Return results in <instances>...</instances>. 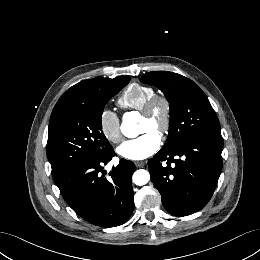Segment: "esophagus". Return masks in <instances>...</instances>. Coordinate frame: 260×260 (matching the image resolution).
I'll return each instance as SVG.
<instances>
[{"instance_id":"1","label":"esophagus","mask_w":260,"mask_h":260,"mask_svg":"<svg viewBox=\"0 0 260 260\" xmlns=\"http://www.w3.org/2000/svg\"><path fill=\"white\" fill-rule=\"evenodd\" d=\"M145 165V162L144 161H135V166L137 168H141Z\"/></svg>"}]
</instances>
